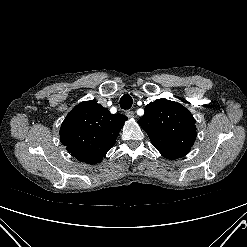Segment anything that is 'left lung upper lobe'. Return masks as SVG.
I'll return each instance as SVG.
<instances>
[{
  "label": "left lung upper lobe",
  "mask_w": 247,
  "mask_h": 247,
  "mask_svg": "<svg viewBox=\"0 0 247 247\" xmlns=\"http://www.w3.org/2000/svg\"><path fill=\"white\" fill-rule=\"evenodd\" d=\"M138 124L146 131L154 147L171 160L185 156L197 135L195 119L190 111L166 99L149 103Z\"/></svg>",
  "instance_id": "obj_1"
}]
</instances>
